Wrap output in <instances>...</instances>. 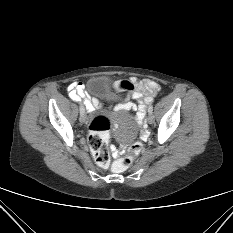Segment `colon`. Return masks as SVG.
<instances>
[{
    "label": "colon",
    "instance_id": "obj_1",
    "mask_svg": "<svg viewBox=\"0 0 233 233\" xmlns=\"http://www.w3.org/2000/svg\"><path fill=\"white\" fill-rule=\"evenodd\" d=\"M118 87L122 90L133 91L134 86L130 81H121ZM111 121L104 115L95 116L89 124L88 144L95 162L101 168L110 165V154L108 148L109 131ZM142 151V144L135 142L128 148V154L111 165L113 172L125 171L133 162L134 158Z\"/></svg>",
    "mask_w": 233,
    "mask_h": 233
}]
</instances>
